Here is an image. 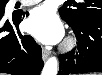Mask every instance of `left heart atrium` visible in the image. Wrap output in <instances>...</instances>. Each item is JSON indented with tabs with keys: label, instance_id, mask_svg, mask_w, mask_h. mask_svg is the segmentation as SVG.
<instances>
[{
	"label": "left heart atrium",
	"instance_id": "obj_1",
	"mask_svg": "<svg viewBox=\"0 0 102 75\" xmlns=\"http://www.w3.org/2000/svg\"><path fill=\"white\" fill-rule=\"evenodd\" d=\"M26 27L31 35L44 44L59 42L64 33L61 21L54 10L46 4L32 10Z\"/></svg>",
	"mask_w": 102,
	"mask_h": 75
}]
</instances>
